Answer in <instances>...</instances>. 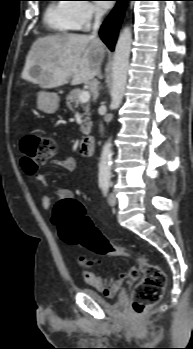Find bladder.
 Masks as SVG:
<instances>
[{
    "label": "bladder",
    "mask_w": 193,
    "mask_h": 349,
    "mask_svg": "<svg viewBox=\"0 0 193 349\" xmlns=\"http://www.w3.org/2000/svg\"><path fill=\"white\" fill-rule=\"evenodd\" d=\"M84 292L88 294L98 304L104 305V306H110V303L107 301V299L96 289L85 288ZM121 298H123V293L118 294V296L116 297V299H121Z\"/></svg>",
    "instance_id": "obj_1"
}]
</instances>
